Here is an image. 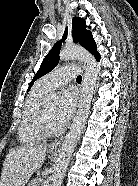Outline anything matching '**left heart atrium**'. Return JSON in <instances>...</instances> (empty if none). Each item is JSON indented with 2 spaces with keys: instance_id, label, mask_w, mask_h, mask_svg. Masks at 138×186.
<instances>
[{
  "instance_id": "39dd6f15",
  "label": "left heart atrium",
  "mask_w": 138,
  "mask_h": 186,
  "mask_svg": "<svg viewBox=\"0 0 138 186\" xmlns=\"http://www.w3.org/2000/svg\"><path fill=\"white\" fill-rule=\"evenodd\" d=\"M76 105V95L72 90L62 93L60 102L57 106V119L61 127L65 126L71 119Z\"/></svg>"
}]
</instances>
